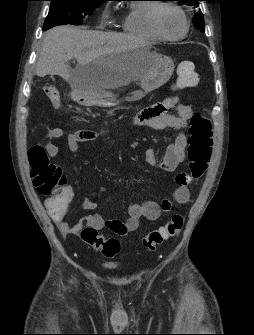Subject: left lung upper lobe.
<instances>
[{"mask_svg": "<svg viewBox=\"0 0 254 335\" xmlns=\"http://www.w3.org/2000/svg\"><path fill=\"white\" fill-rule=\"evenodd\" d=\"M177 1L181 2L182 4H186V5H189V6H193L194 8H197L198 5H199L198 1H200V0H177ZM193 21H194L196 27L199 30H201L202 32L205 31V29H204V17H203V14H202L201 11L194 13Z\"/></svg>", "mask_w": 254, "mask_h": 335, "instance_id": "5c2ea615", "label": "left lung upper lobe"}]
</instances>
